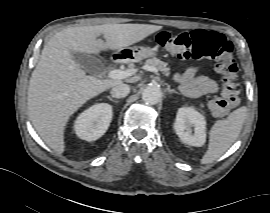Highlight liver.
Masks as SVG:
<instances>
[{"label": "liver", "mask_w": 270, "mask_h": 213, "mask_svg": "<svg viewBox=\"0 0 270 213\" xmlns=\"http://www.w3.org/2000/svg\"><path fill=\"white\" fill-rule=\"evenodd\" d=\"M161 29L149 24H105L66 28L50 38L30 78L27 100L30 120L52 150L64 152V130L72 114L91 98L122 84L119 79L86 75L72 53L120 51ZM100 35L105 42L97 39Z\"/></svg>", "instance_id": "1"}]
</instances>
